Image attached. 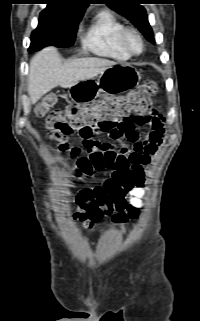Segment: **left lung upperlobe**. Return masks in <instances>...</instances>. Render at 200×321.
Masks as SVG:
<instances>
[{"label": "left lung upper lobe", "mask_w": 200, "mask_h": 321, "mask_svg": "<svg viewBox=\"0 0 200 321\" xmlns=\"http://www.w3.org/2000/svg\"><path fill=\"white\" fill-rule=\"evenodd\" d=\"M112 10L126 17L136 26L140 32L151 42H155L153 31L148 22V16L144 7L140 5L141 0H101Z\"/></svg>", "instance_id": "obj_1"}]
</instances>
